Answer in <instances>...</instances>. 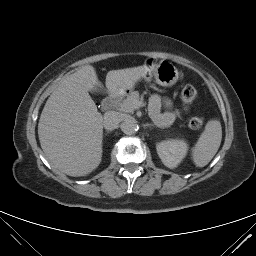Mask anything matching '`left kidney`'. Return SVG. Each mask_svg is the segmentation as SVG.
Here are the masks:
<instances>
[{
    "label": "left kidney",
    "instance_id": "left-kidney-1",
    "mask_svg": "<svg viewBox=\"0 0 256 256\" xmlns=\"http://www.w3.org/2000/svg\"><path fill=\"white\" fill-rule=\"evenodd\" d=\"M156 150L163 164L174 168L185 157L188 145L183 140H165L156 145Z\"/></svg>",
    "mask_w": 256,
    "mask_h": 256
}]
</instances>
